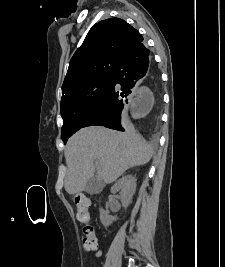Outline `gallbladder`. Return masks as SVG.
<instances>
[{
  "mask_svg": "<svg viewBox=\"0 0 225 267\" xmlns=\"http://www.w3.org/2000/svg\"><path fill=\"white\" fill-rule=\"evenodd\" d=\"M101 184L95 180V178H91L88 180L86 185V190L90 193H97L101 189Z\"/></svg>",
  "mask_w": 225,
  "mask_h": 267,
  "instance_id": "gallbladder-1",
  "label": "gallbladder"
}]
</instances>
